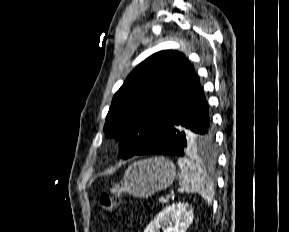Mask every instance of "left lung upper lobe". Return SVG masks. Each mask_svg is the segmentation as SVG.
<instances>
[{"instance_id":"5c2ea615","label":"left lung upper lobe","mask_w":289,"mask_h":232,"mask_svg":"<svg viewBox=\"0 0 289 232\" xmlns=\"http://www.w3.org/2000/svg\"><path fill=\"white\" fill-rule=\"evenodd\" d=\"M198 81L180 52L160 51L140 63L114 95L104 125L107 137L121 139L119 158L148 144Z\"/></svg>"}]
</instances>
